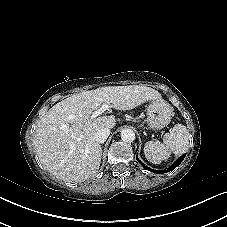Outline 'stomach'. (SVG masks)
<instances>
[{"label":"stomach","mask_w":227,"mask_h":227,"mask_svg":"<svg viewBox=\"0 0 227 227\" xmlns=\"http://www.w3.org/2000/svg\"><path fill=\"white\" fill-rule=\"evenodd\" d=\"M173 116V108L162 99L151 101L147 107V129L157 131L166 127Z\"/></svg>","instance_id":"obj_1"}]
</instances>
